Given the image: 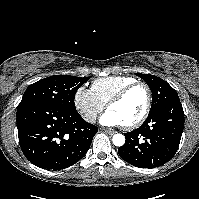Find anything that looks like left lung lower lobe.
Wrapping results in <instances>:
<instances>
[{"instance_id":"left-lung-lower-lobe-1","label":"left lung lower lobe","mask_w":199,"mask_h":199,"mask_svg":"<svg viewBox=\"0 0 199 199\" xmlns=\"http://www.w3.org/2000/svg\"><path fill=\"white\" fill-rule=\"evenodd\" d=\"M184 128L180 100L169 102L149 112L136 130L124 133L126 142L118 149L120 157L139 168H155L175 155Z\"/></svg>"}]
</instances>
